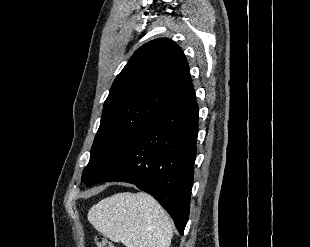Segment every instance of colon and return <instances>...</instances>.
<instances>
[{
    "label": "colon",
    "mask_w": 310,
    "mask_h": 247,
    "mask_svg": "<svg viewBox=\"0 0 310 247\" xmlns=\"http://www.w3.org/2000/svg\"><path fill=\"white\" fill-rule=\"evenodd\" d=\"M96 247H115L114 244L103 234H98L95 237Z\"/></svg>",
    "instance_id": "5ec220e1"
}]
</instances>
